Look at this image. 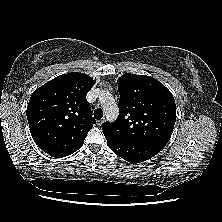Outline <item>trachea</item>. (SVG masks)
Listing matches in <instances>:
<instances>
[{
  "mask_svg": "<svg viewBox=\"0 0 222 222\" xmlns=\"http://www.w3.org/2000/svg\"><path fill=\"white\" fill-rule=\"evenodd\" d=\"M94 117L96 119H101L103 117V111L100 108L95 109Z\"/></svg>",
  "mask_w": 222,
  "mask_h": 222,
  "instance_id": "trachea-1",
  "label": "trachea"
}]
</instances>
